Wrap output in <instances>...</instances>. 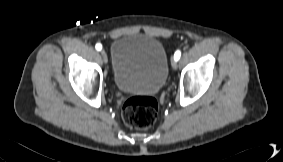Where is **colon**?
Wrapping results in <instances>:
<instances>
[{
    "label": "colon",
    "mask_w": 283,
    "mask_h": 162,
    "mask_svg": "<svg viewBox=\"0 0 283 162\" xmlns=\"http://www.w3.org/2000/svg\"><path fill=\"white\" fill-rule=\"evenodd\" d=\"M159 112V105L152 97L134 96L123 105L122 118L126 125L135 129H147L151 127Z\"/></svg>",
    "instance_id": "obj_1"
}]
</instances>
